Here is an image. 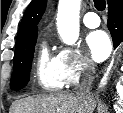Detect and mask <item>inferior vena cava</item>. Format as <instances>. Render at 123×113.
Returning <instances> with one entry per match:
<instances>
[{"mask_svg": "<svg viewBox=\"0 0 123 113\" xmlns=\"http://www.w3.org/2000/svg\"><path fill=\"white\" fill-rule=\"evenodd\" d=\"M95 67L93 63L88 62L85 67V72L82 76L81 83L79 85L77 94L89 99L90 95V88L94 79Z\"/></svg>", "mask_w": 123, "mask_h": 113, "instance_id": "obj_1", "label": "inferior vena cava"}]
</instances>
